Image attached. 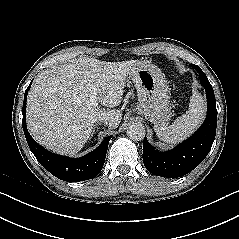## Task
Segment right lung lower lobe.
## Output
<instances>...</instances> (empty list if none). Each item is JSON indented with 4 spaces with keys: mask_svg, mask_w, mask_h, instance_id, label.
I'll return each mask as SVG.
<instances>
[{
    "mask_svg": "<svg viewBox=\"0 0 239 239\" xmlns=\"http://www.w3.org/2000/svg\"><path fill=\"white\" fill-rule=\"evenodd\" d=\"M25 91L23 103L22 126L30 150L40 164L55 177L68 181L79 182L94 178L102 169L111 136L106 137L94 151L81 158H69L51 153L39 145L29 134L26 127V99L28 90Z\"/></svg>",
    "mask_w": 239,
    "mask_h": 239,
    "instance_id": "right-lung-lower-lobe-1",
    "label": "right lung lower lobe"
}]
</instances>
